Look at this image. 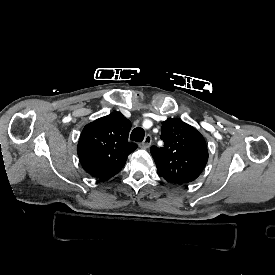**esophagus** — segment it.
I'll return each instance as SVG.
<instances>
[{
	"instance_id": "1",
	"label": "esophagus",
	"mask_w": 275,
	"mask_h": 275,
	"mask_svg": "<svg viewBox=\"0 0 275 275\" xmlns=\"http://www.w3.org/2000/svg\"><path fill=\"white\" fill-rule=\"evenodd\" d=\"M152 138L150 135H147L144 139V141L139 145L140 148L142 149H147L151 145Z\"/></svg>"
}]
</instances>
